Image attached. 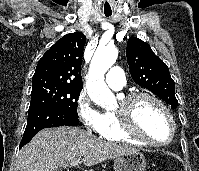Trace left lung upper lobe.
Segmentation results:
<instances>
[{
	"mask_svg": "<svg viewBox=\"0 0 199 171\" xmlns=\"http://www.w3.org/2000/svg\"><path fill=\"white\" fill-rule=\"evenodd\" d=\"M126 56L132 79L155 93L173 109L176 108L178 101L175 97V82L167 65L153 53L150 45L136 37H130Z\"/></svg>",
	"mask_w": 199,
	"mask_h": 171,
	"instance_id": "5c2ea615",
	"label": "left lung upper lobe"
}]
</instances>
